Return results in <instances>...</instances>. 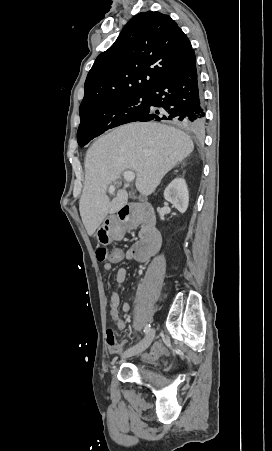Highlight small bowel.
Returning a JSON list of instances; mask_svg holds the SVG:
<instances>
[{"mask_svg": "<svg viewBox=\"0 0 272 451\" xmlns=\"http://www.w3.org/2000/svg\"><path fill=\"white\" fill-rule=\"evenodd\" d=\"M123 258V256H122ZM121 258V259H122ZM119 262L117 259L106 261L103 265V268L106 272H109L114 263ZM127 276V270L125 268H120L115 276L116 286L111 291L110 297H109V309H110V315L113 320L114 326L120 330L125 331L127 329L126 322L120 317L119 312V305H120V295L119 290L122 288ZM131 309L130 304L124 303L122 305V310L124 312H129ZM126 343V341H122L120 344H118L117 347L109 348L110 354H120L123 351V346ZM169 351L167 348V345L164 341L157 342L151 349V351L145 355L146 358L149 359H157L161 355H168Z\"/></svg>", "mask_w": 272, "mask_h": 451, "instance_id": "obj_1", "label": "small bowel"}]
</instances>
